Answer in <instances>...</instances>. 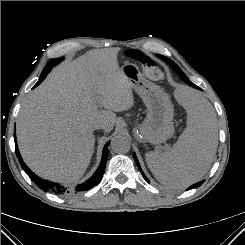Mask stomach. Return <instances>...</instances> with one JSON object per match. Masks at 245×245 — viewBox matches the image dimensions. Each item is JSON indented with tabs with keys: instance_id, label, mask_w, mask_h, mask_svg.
<instances>
[{
	"instance_id": "1",
	"label": "stomach",
	"mask_w": 245,
	"mask_h": 245,
	"mask_svg": "<svg viewBox=\"0 0 245 245\" xmlns=\"http://www.w3.org/2000/svg\"><path fill=\"white\" fill-rule=\"evenodd\" d=\"M121 71L147 106L146 118L139 126L143 139L152 144L166 141L174 133V106L168 94L146 80L135 64L127 63Z\"/></svg>"
}]
</instances>
